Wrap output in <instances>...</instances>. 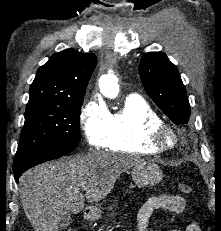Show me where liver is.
Returning <instances> with one entry per match:
<instances>
[{
  "label": "liver",
  "mask_w": 221,
  "mask_h": 231,
  "mask_svg": "<svg viewBox=\"0 0 221 231\" xmlns=\"http://www.w3.org/2000/svg\"><path fill=\"white\" fill-rule=\"evenodd\" d=\"M143 160L124 154L90 152L49 162L25 172L19 179L20 198L35 231H58L65 209L75 214L110 194L122 172ZM86 186L85 196L80 192Z\"/></svg>",
  "instance_id": "6515ba94"
}]
</instances>
